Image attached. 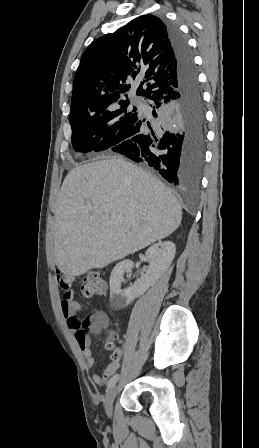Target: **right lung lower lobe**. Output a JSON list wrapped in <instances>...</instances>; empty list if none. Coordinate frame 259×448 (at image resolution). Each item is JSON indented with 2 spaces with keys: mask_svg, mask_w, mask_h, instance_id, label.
I'll use <instances>...</instances> for the list:
<instances>
[{
  "mask_svg": "<svg viewBox=\"0 0 259 448\" xmlns=\"http://www.w3.org/2000/svg\"><path fill=\"white\" fill-rule=\"evenodd\" d=\"M167 27L177 85L149 99L151 125L138 116L112 151L145 162L174 186H197L204 166L205 111L193 55L179 29Z\"/></svg>",
  "mask_w": 259,
  "mask_h": 448,
  "instance_id": "98d812e1",
  "label": "right lung lower lobe"
}]
</instances>
